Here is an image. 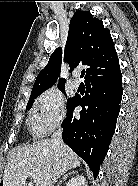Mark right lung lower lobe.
Masks as SVG:
<instances>
[{
	"instance_id": "98d812e1",
	"label": "right lung lower lobe",
	"mask_w": 138,
	"mask_h": 186,
	"mask_svg": "<svg viewBox=\"0 0 138 186\" xmlns=\"http://www.w3.org/2000/svg\"><path fill=\"white\" fill-rule=\"evenodd\" d=\"M85 85V96L73 97L67 107L62 138L89 165L96 178L115 132L122 98V75L88 81ZM76 106L83 108L78 117L73 115Z\"/></svg>"
}]
</instances>
